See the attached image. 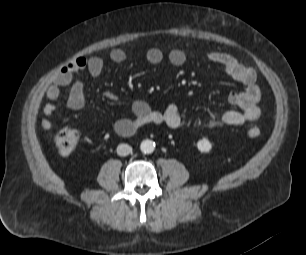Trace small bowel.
<instances>
[{"label":"small bowel","instance_id":"small-bowel-1","mask_svg":"<svg viewBox=\"0 0 306 255\" xmlns=\"http://www.w3.org/2000/svg\"><path fill=\"white\" fill-rule=\"evenodd\" d=\"M109 56L113 62L118 64L124 62L127 58L125 51L121 48L112 49ZM206 57L229 77L244 85L245 88L239 92L233 91L228 96L229 103L238 109L214 113L206 120L196 122L195 126L213 129L243 125L257 120L261 114L259 107L261 91L256 83L255 71L227 52L212 51L207 53ZM164 58L165 53L158 47L149 48L146 52L147 61L153 65L160 64ZM166 58L176 67L184 65L187 61L186 53L179 48L170 49ZM104 67V59L100 56L76 57L63 66L53 76L52 84L46 90V96L51 102L43 108L45 118L41 123L42 128L50 130L52 127L50 117L56 111L53 102L60 97L61 88L69 87L67 105L70 109L79 110L84 107V86L81 80L75 78V74L87 71L92 78H99L104 71ZM106 97L113 101L119 99L118 94L114 91H107ZM132 114L131 118L120 119L115 123L117 134L121 136L131 135L149 123L162 124L172 129L184 125L182 114L176 104H170L163 111H155L145 101L137 100L132 104Z\"/></svg>","mask_w":306,"mask_h":255}]
</instances>
